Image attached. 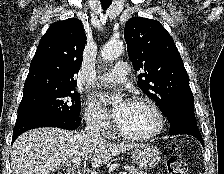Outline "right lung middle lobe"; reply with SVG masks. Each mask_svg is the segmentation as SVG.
Segmentation results:
<instances>
[{"instance_id":"right-lung-middle-lobe-1","label":"right lung middle lobe","mask_w":224,"mask_h":174,"mask_svg":"<svg viewBox=\"0 0 224 174\" xmlns=\"http://www.w3.org/2000/svg\"><path fill=\"white\" fill-rule=\"evenodd\" d=\"M79 98L75 88H51L23 94L18 115L39 113L56 118H77L81 108Z\"/></svg>"}]
</instances>
